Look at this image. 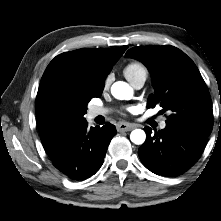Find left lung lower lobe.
Segmentation results:
<instances>
[{"label":"left lung lower lobe","mask_w":221,"mask_h":221,"mask_svg":"<svg viewBox=\"0 0 221 221\" xmlns=\"http://www.w3.org/2000/svg\"><path fill=\"white\" fill-rule=\"evenodd\" d=\"M147 139L138 150L143 165L151 172L163 176H176L188 170L199 159L206 139L191 130L167 125L154 132L144 128Z\"/></svg>","instance_id":"obj_1"}]
</instances>
